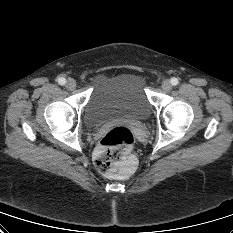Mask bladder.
Wrapping results in <instances>:
<instances>
[{
    "instance_id": "bladder-1",
    "label": "bladder",
    "mask_w": 233,
    "mask_h": 233,
    "mask_svg": "<svg viewBox=\"0 0 233 233\" xmlns=\"http://www.w3.org/2000/svg\"><path fill=\"white\" fill-rule=\"evenodd\" d=\"M146 88V77L137 71L98 75L83 109L85 123L97 127L112 120L147 119L152 105Z\"/></svg>"
}]
</instances>
